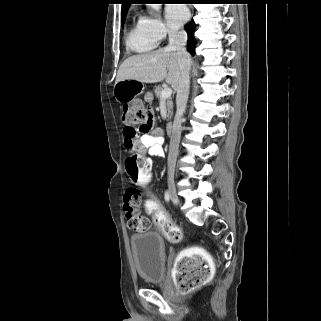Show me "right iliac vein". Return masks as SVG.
<instances>
[{"label":"right iliac vein","instance_id":"1","mask_svg":"<svg viewBox=\"0 0 321 321\" xmlns=\"http://www.w3.org/2000/svg\"><path fill=\"white\" fill-rule=\"evenodd\" d=\"M168 192H169V195H170V198H171L172 202L175 205H178L179 204V198H178V195H177V192H176V187H175L174 179H173L172 176H169V178H168Z\"/></svg>","mask_w":321,"mask_h":321}]
</instances>
